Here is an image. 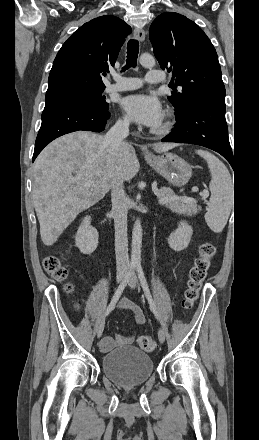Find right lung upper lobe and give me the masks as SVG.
<instances>
[{
    "label": "right lung upper lobe",
    "instance_id": "obj_1",
    "mask_svg": "<svg viewBox=\"0 0 259 440\" xmlns=\"http://www.w3.org/2000/svg\"><path fill=\"white\" fill-rule=\"evenodd\" d=\"M131 28L115 16L82 25L62 45L54 60L46 94L75 88H105L101 73L114 66Z\"/></svg>",
    "mask_w": 259,
    "mask_h": 440
}]
</instances>
